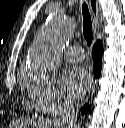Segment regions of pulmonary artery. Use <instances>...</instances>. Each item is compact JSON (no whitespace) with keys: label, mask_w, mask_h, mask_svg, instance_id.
I'll list each match as a JSON object with an SVG mask.
<instances>
[{"label":"pulmonary artery","mask_w":125,"mask_h":128,"mask_svg":"<svg viewBox=\"0 0 125 128\" xmlns=\"http://www.w3.org/2000/svg\"><path fill=\"white\" fill-rule=\"evenodd\" d=\"M63 56L68 61L79 62L84 59L85 53L82 47L72 46L63 52Z\"/></svg>","instance_id":"obj_1"}]
</instances>
